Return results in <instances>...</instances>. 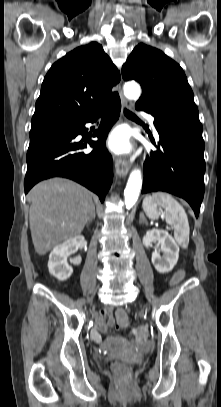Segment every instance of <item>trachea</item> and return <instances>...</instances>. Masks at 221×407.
I'll list each match as a JSON object with an SVG mask.
<instances>
[{
	"label": "trachea",
	"instance_id": "obj_1",
	"mask_svg": "<svg viewBox=\"0 0 221 407\" xmlns=\"http://www.w3.org/2000/svg\"><path fill=\"white\" fill-rule=\"evenodd\" d=\"M124 114H125L126 117H128L130 119L139 120V118L135 114H133L132 112H130V111L126 110V109H124Z\"/></svg>",
	"mask_w": 221,
	"mask_h": 407
}]
</instances>
